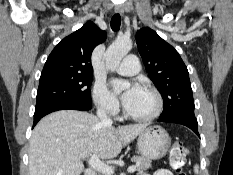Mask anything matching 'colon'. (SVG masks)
I'll use <instances>...</instances> for the list:
<instances>
[{
	"label": "colon",
	"instance_id": "5ec220e1",
	"mask_svg": "<svg viewBox=\"0 0 233 175\" xmlns=\"http://www.w3.org/2000/svg\"><path fill=\"white\" fill-rule=\"evenodd\" d=\"M187 154L188 149L183 142L176 141L173 143L170 150L169 162L170 166L176 171L177 175H186L184 172V166Z\"/></svg>",
	"mask_w": 233,
	"mask_h": 175
}]
</instances>
